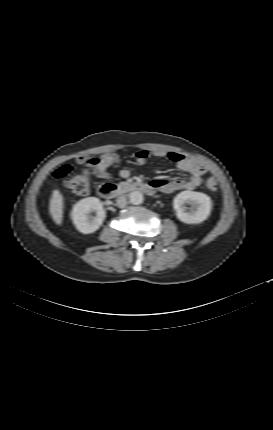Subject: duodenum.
Here are the masks:
<instances>
[{
	"instance_id": "duodenum-1",
	"label": "duodenum",
	"mask_w": 273,
	"mask_h": 430,
	"mask_svg": "<svg viewBox=\"0 0 273 430\" xmlns=\"http://www.w3.org/2000/svg\"><path fill=\"white\" fill-rule=\"evenodd\" d=\"M129 189L147 194H153L156 191V188L152 183H133L129 185ZM118 193V188L112 183L102 184L98 188V195L104 199H111L118 195Z\"/></svg>"
}]
</instances>
